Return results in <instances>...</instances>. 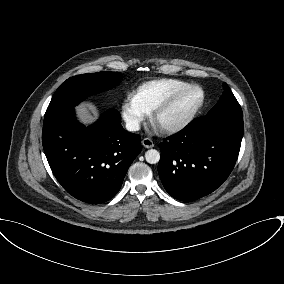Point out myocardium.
<instances>
[{
	"label": "myocardium",
	"mask_w": 284,
	"mask_h": 284,
	"mask_svg": "<svg viewBox=\"0 0 284 284\" xmlns=\"http://www.w3.org/2000/svg\"><path fill=\"white\" fill-rule=\"evenodd\" d=\"M197 89L201 92V100L187 115L170 121L162 122L161 118L166 114L177 101L188 91ZM206 102V93L202 86L197 84H189L168 97L163 103L155 108L151 114L152 124L162 133H176L186 128L199 114Z\"/></svg>",
	"instance_id": "1"
}]
</instances>
